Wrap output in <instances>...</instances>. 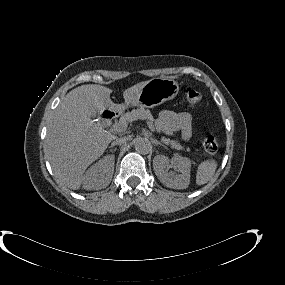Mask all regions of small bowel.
<instances>
[{"mask_svg": "<svg viewBox=\"0 0 285 285\" xmlns=\"http://www.w3.org/2000/svg\"><path fill=\"white\" fill-rule=\"evenodd\" d=\"M156 125L166 134L181 132L185 140L192 136V116L188 112L162 111L157 117Z\"/></svg>", "mask_w": 285, "mask_h": 285, "instance_id": "small-bowel-1", "label": "small bowel"}]
</instances>
